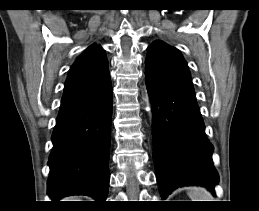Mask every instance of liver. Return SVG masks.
I'll return each instance as SVG.
<instances>
[{"instance_id":"obj_1","label":"liver","mask_w":259,"mask_h":211,"mask_svg":"<svg viewBox=\"0 0 259 211\" xmlns=\"http://www.w3.org/2000/svg\"><path fill=\"white\" fill-rule=\"evenodd\" d=\"M70 199H77L76 197H72V198H70ZM74 201V200H73ZM76 201V200H75Z\"/></svg>"}]
</instances>
